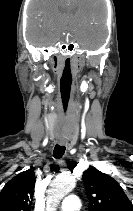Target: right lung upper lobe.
Instances as JSON below:
<instances>
[{
  "instance_id": "cb5924a9",
  "label": "right lung upper lobe",
  "mask_w": 133,
  "mask_h": 211,
  "mask_svg": "<svg viewBox=\"0 0 133 211\" xmlns=\"http://www.w3.org/2000/svg\"><path fill=\"white\" fill-rule=\"evenodd\" d=\"M35 182L31 169L11 179L0 192V211H30Z\"/></svg>"
}]
</instances>
